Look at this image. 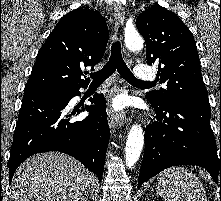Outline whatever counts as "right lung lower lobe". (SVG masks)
Here are the masks:
<instances>
[{"label":"right lung lower lobe","mask_w":221,"mask_h":201,"mask_svg":"<svg viewBox=\"0 0 221 201\" xmlns=\"http://www.w3.org/2000/svg\"><path fill=\"white\" fill-rule=\"evenodd\" d=\"M81 87L87 85L54 91H24L10 150V181L24 160L46 151H60L76 158L101 180L110 134L104 95L90 98L96 105L69 110V101L80 94ZM85 110L90 112L85 119L75 121L71 118Z\"/></svg>","instance_id":"1"}]
</instances>
